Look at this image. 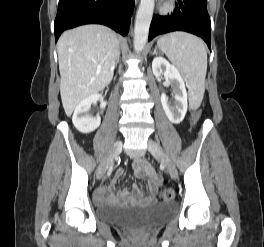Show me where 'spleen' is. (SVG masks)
<instances>
[{
    "label": "spleen",
    "instance_id": "obj_1",
    "mask_svg": "<svg viewBox=\"0 0 264 247\" xmlns=\"http://www.w3.org/2000/svg\"><path fill=\"white\" fill-rule=\"evenodd\" d=\"M157 46L186 77L191 101L200 104L207 71V52L203 41L189 33L174 32L161 37Z\"/></svg>",
    "mask_w": 264,
    "mask_h": 247
}]
</instances>
